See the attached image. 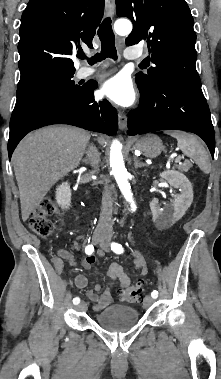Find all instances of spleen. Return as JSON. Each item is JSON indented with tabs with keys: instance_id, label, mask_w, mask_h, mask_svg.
I'll return each mask as SVG.
<instances>
[{
	"instance_id": "spleen-1",
	"label": "spleen",
	"mask_w": 221,
	"mask_h": 379,
	"mask_svg": "<svg viewBox=\"0 0 221 379\" xmlns=\"http://www.w3.org/2000/svg\"><path fill=\"white\" fill-rule=\"evenodd\" d=\"M170 135L176 138L178 147L186 156L192 158L204 173H210L211 164L208 151L198 138L181 131L170 132Z\"/></svg>"
}]
</instances>
